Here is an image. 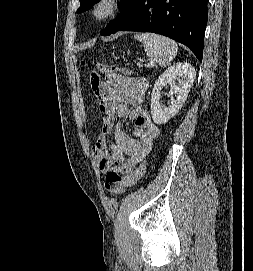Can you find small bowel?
I'll use <instances>...</instances> for the list:
<instances>
[{"mask_svg": "<svg viewBox=\"0 0 253 271\" xmlns=\"http://www.w3.org/2000/svg\"><path fill=\"white\" fill-rule=\"evenodd\" d=\"M107 83H103L98 95V108L102 115V130L93 145V154L99 168L106 173L129 174L134 166L150 152L153 141L159 136V127L152 122L147 110L129 105L143 102L148 83L143 77L126 76L115 71L105 72ZM128 116L134 122V138L127 137L116 118ZM114 132V140L107 136Z\"/></svg>", "mask_w": 253, "mask_h": 271, "instance_id": "c3829d8e", "label": "small bowel"}]
</instances>
